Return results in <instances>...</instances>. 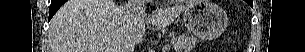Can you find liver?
<instances>
[{
	"label": "liver",
	"instance_id": "liver-1",
	"mask_svg": "<svg viewBox=\"0 0 305 52\" xmlns=\"http://www.w3.org/2000/svg\"><path fill=\"white\" fill-rule=\"evenodd\" d=\"M191 4L128 19L112 0H69L50 22L49 52H118L124 39L142 41L146 23L167 26Z\"/></svg>",
	"mask_w": 305,
	"mask_h": 52
}]
</instances>
